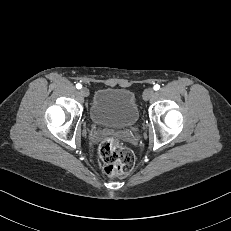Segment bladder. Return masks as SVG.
Instances as JSON below:
<instances>
[{
	"mask_svg": "<svg viewBox=\"0 0 231 231\" xmlns=\"http://www.w3.org/2000/svg\"><path fill=\"white\" fill-rule=\"evenodd\" d=\"M89 116L98 125L131 128L139 120V108L131 90L106 87L94 94Z\"/></svg>",
	"mask_w": 231,
	"mask_h": 231,
	"instance_id": "obj_1",
	"label": "bladder"
}]
</instances>
